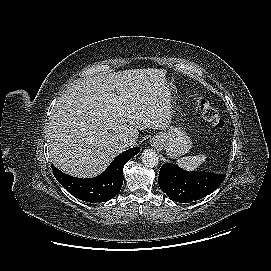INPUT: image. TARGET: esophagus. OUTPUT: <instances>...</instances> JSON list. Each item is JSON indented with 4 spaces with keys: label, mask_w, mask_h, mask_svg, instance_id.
Masks as SVG:
<instances>
[{
    "label": "esophagus",
    "mask_w": 271,
    "mask_h": 271,
    "mask_svg": "<svg viewBox=\"0 0 271 271\" xmlns=\"http://www.w3.org/2000/svg\"><path fill=\"white\" fill-rule=\"evenodd\" d=\"M160 143H161V140L158 137H155L151 142V144L156 148L160 147L161 145Z\"/></svg>",
    "instance_id": "34e87169"
}]
</instances>
